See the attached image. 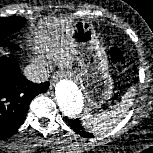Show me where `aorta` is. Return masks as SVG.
I'll list each match as a JSON object with an SVG mask.
<instances>
[{"mask_svg":"<svg viewBox=\"0 0 153 153\" xmlns=\"http://www.w3.org/2000/svg\"><path fill=\"white\" fill-rule=\"evenodd\" d=\"M57 104L61 112L70 118L80 114L83 108V96L71 81L61 80L55 89Z\"/></svg>","mask_w":153,"mask_h":153,"instance_id":"762f6f07","label":"aorta"}]
</instances>
